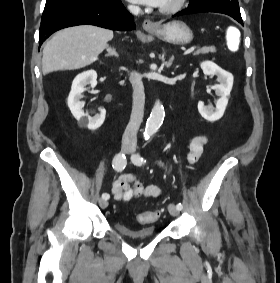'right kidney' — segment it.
Segmentation results:
<instances>
[{
  "mask_svg": "<svg viewBox=\"0 0 280 283\" xmlns=\"http://www.w3.org/2000/svg\"><path fill=\"white\" fill-rule=\"evenodd\" d=\"M87 85H91L92 88L97 85L96 71L88 70L75 77L68 97V107L80 127L96 130L103 124L106 110L104 108L100 109V113L95 116L84 113L83 108L85 103L80 101V99L83 97V92L86 90Z\"/></svg>",
  "mask_w": 280,
  "mask_h": 283,
  "instance_id": "ca27d5eb",
  "label": "right kidney"
}]
</instances>
